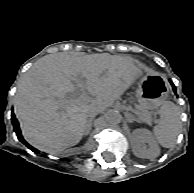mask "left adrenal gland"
Returning a JSON list of instances; mask_svg holds the SVG:
<instances>
[{
    "label": "left adrenal gland",
    "mask_w": 194,
    "mask_h": 193,
    "mask_svg": "<svg viewBox=\"0 0 194 193\" xmlns=\"http://www.w3.org/2000/svg\"><path fill=\"white\" fill-rule=\"evenodd\" d=\"M133 118L130 116L129 122H133ZM136 121V120H135Z\"/></svg>",
    "instance_id": "a2214340"
}]
</instances>
